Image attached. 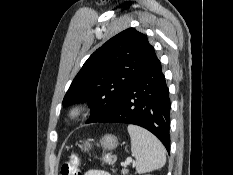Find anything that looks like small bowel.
Returning a JSON list of instances; mask_svg holds the SVG:
<instances>
[{
  "label": "small bowel",
  "instance_id": "c3829d8e",
  "mask_svg": "<svg viewBox=\"0 0 233 175\" xmlns=\"http://www.w3.org/2000/svg\"><path fill=\"white\" fill-rule=\"evenodd\" d=\"M85 175H111V174L103 170L91 169L88 170Z\"/></svg>",
  "mask_w": 233,
  "mask_h": 175
}]
</instances>
